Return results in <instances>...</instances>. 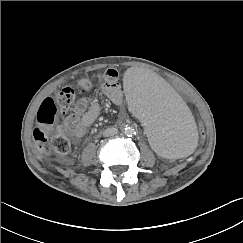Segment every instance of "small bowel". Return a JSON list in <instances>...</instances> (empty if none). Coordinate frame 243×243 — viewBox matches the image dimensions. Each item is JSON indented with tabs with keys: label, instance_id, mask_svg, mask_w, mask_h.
I'll use <instances>...</instances> for the list:
<instances>
[{
	"label": "small bowel",
	"instance_id": "1",
	"mask_svg": "<svg viewBox=\"0 0 243 243\" xmlns=\"http://www.w3.org/2000/svg\"><path fill=\"white\" fill-rule=\"evenodd\" d=\"M102 91L107 98L115 105L123 102V92L119 84V72L109 68L100 75ZM100 104L94 101L88 107L87 100H79L74 112L65 118L66 132L74 140L82 138L87 129L94 123L100 114Z\"/></svg>",
	"mask_w": 243,
	"mask_h": 243
}]
</instances>
